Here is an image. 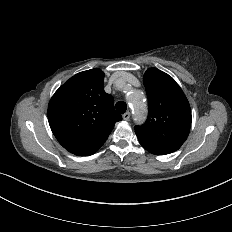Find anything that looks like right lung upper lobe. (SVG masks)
Here are the masks:
<instances>
[{
    "label": "right lung upper lobe",
    "mask_w": 232,
    "mask_h": 232,
    "mask_svg": "<svg viewBox=\"0 0 232 232\" xmlns=\"http://www.w3.org/2000/svg\"><path fill=\"white\" fill-rule=\"evenodd\" d=\"M104 73L80 72L66 81L48 105V120L58 142L78 156L94 154L106 141L117 121L114 99L104 89Z\"/></svg>",
    "instance_id": "cb5924a9"
}]
</instances>
